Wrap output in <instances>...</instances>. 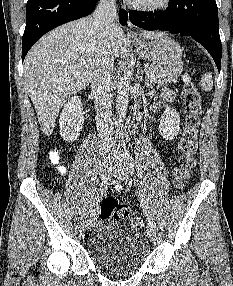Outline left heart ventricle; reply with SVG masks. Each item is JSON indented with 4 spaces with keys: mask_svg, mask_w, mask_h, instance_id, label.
I'll list each match as a JSON object with an SVG mask.
<instances>
[{
    "mask_svg": "<svg viewBox=\"0 0 233 286\" xmlns=\"http://www.w3.org/2000/svg\"><path fill=\"white\" fill-rule=\"evenodd\" d=\"M159 0H138V3H143V4H152L155 3Z\"/></svg>",
    "mask_w": 233,
    "mask_h": 286,
    "instance_id": "obj_1",
    "label": "left heart ventricle"
}]
</instances>
